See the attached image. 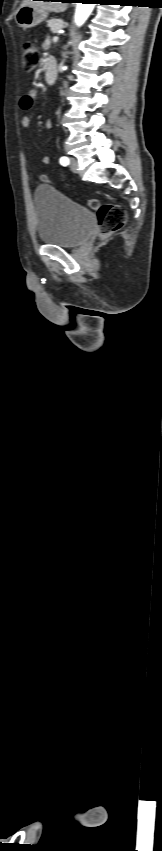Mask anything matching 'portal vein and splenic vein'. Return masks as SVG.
I'll use <instances>...</instances> for the list:
<instances>
[{
  "mask_svg": "<svg viewBox=\"0 0 162 851\" xmlns=\"http://www.w3.org/2000/svg\"><path fill=\"white\" fill-rule=\"evenodd\" d=\"M58 39H59V38H58L57 36L53 37V41H54V42H57V41H58Z\"/></svg>",
  "mask_w": 162,
  "mask_h": 851,
  "instance_id": "18ae733b",
  "label": "portal vein and splenic vein"
}]
</instances>
